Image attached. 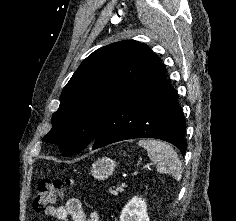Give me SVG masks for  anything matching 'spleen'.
<instances>
[{
  "mask_svg": "<svg viewBox=\"0 0 236 221\" xmlns=\"http://www.w3.org/2000/svg\"><path fill=\"white\" fill-rule=\"evenodd\" d=\"M138 145L147 150L148 157L156 163L159 173L170 174L177 181L181 179L182 164L172 146L152 139H141Z\"/></svg>",
  "mask_w": 236,
  "mask_h": 221,
  "instance_id": "1",
  "label": "spleen"
}]
</instances>
